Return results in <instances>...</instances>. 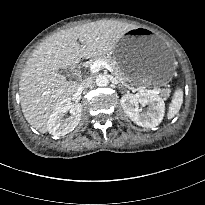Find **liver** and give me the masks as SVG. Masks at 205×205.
<instances>
[{
	"instance_id": "6515ba94",
	"label": "liver",
	"mask_w": 205,
	"mask_h": 205,
	"mask_svg": "<svg viewBox=\"0 0 205 205\" xmlns=\"http://www.w3.org/2000/svg\"><path fill=\"white\" fill-rule=\"evenodd\" d=\"M135 27L101 20L62 30L40 44L28 59L19 82L21 108L27 122L46 133L51 112L78 87L76 81H67L58 70L76 66L81 58L111 52L120 38Z\"/></svg>"
}]
</instances>
